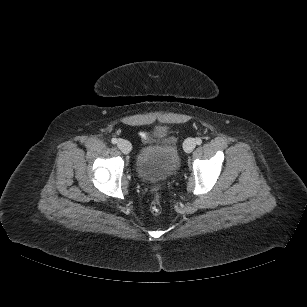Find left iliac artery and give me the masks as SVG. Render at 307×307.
I'll return each instance as SVG.
<instances>
[{
  "label": "left iliac artery",
  "mask_w": 307,
  "mask_h": 307,
  "mask_svg": "<svg viewBox=\"0 0 307 307\" xmlns=\"http://www.w3.org/2000/svg\"><path fill=\"white\" fill-rule=\"evenodd\" d=\"M196 143H197V145H201L202 144V139L201 138H197Z\"/></svg>",
  "instance_id": "1"
}]
</instances>
